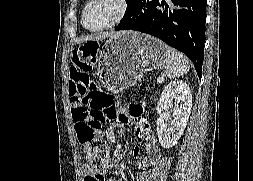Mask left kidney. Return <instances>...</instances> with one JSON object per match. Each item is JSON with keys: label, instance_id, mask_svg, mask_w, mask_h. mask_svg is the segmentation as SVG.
Listing matches in <instances>:
<instances>
[{"label": "left kidney", "instance_id": "1", "mask_svg": "<svg viewBox=\"0 0 253 181\" xmlns=\"http://www.w3.org/2000/svg\"><path fill=\"white\" fill-rule=\"evenodd\" d=\"M192 108L189 85L182 80L169 83L161 93L157 111V135L163 148L177 144L186 128Z\"/></svg>", "mask_w": 253, "mask_h": 181}]
</instances>
